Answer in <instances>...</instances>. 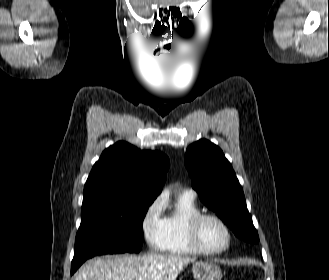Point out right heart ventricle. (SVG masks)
<instances>
[{"label": "right heart ventricle", "mask_w": 329, "mask_h": 280, "mask_svg": "<svg viewBox=\"0 0 329 280\" xmlns=\"http://www.w3.org/2000/svg\"><path fill=\"white\" fill-rule=\"evenodd\" d=\"M200 212L195 197L186 191L180 192L165 217V236L161 250L178 256L196 255L189 242L187 228L189 220Z\"/></svg>", "instance_id": "right-heart-ventricle-1"}]
</instances>
